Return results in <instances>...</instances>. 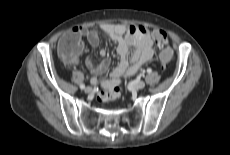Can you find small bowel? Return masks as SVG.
Masks as SVG:
<instances>
[{
  "label": "small bowel",
  "instance_id": "c3829d8e",
  "mask_svg": "<svg viewBox=\"0 0 230 155\" xmlns=\"http://www.w3.org/2000/svg\"><path fill=\"white\" fill-rule=\"evenodd\" d=\"M101 31L109 39L117 44V51L120 55V62L113 69L110 78L101 82V84L111 89L117 86L122 78L131 76L138 71V69L146 62L151 60L154 55L153 49V32H150L146 27L141 25H132L126 28L122 24H108L101 27ZM73 34L79 38V46L76 49L74 62L78 63L77 54L81 51L82 37H85L89 45L95 49L99 44V30L87 29L85 27H74L66 36ZM61 39V40H62ZM102 60L99 63H94L90 59L86 61L90 72L93 75H98L107 70L109 67V60L106 58L105 51H101ZM91 83L96 85L98 79L93 77Z\"/></svg>",
  "mask_w": 230,
  "mask_h": 155
}]
</instances>
